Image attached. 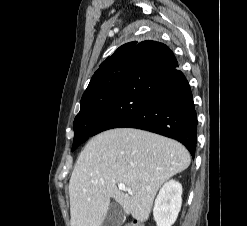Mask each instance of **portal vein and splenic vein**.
<instances>
[{
    "instance_id": "obj_1",
    "label": "portal vein and splenic vein",
    "mask_w": 247,
    "mask_h": 226,
    "mask_svg": "<svg viewBox=\"0 0 247 226\" xmlns=\"http://www.w3.org/2000/svg\"><path fill=\"white\" fill-rule=\"evenodd\" d=\"M118 188L120 190L127 191L130 194L132 193L131 190L128 187L125 186V184H122V183L118 184Z\"/></svg>"
}]
</instances>
